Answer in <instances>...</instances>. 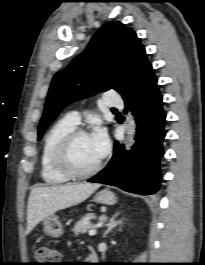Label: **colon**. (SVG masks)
Returning <instances> with one entry per match:
<instances>
[{"label":"colon","mask_w":205,"mask_h":265,"mask_svg":"<svg viewBox=\"0 0 205 265\" xmlns=\"http://www.w3.org/2000/svg\"><path fill=\"white\" fill-rule=\"evenodd\" d=\"M35 257L39 265H57L59 253L48 246H40L35 252Z\"/></svg>","instance_id":"obj_1"}]
</instances>
